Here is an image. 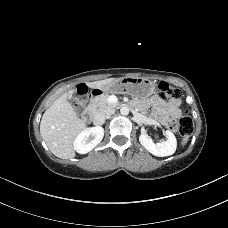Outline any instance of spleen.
<instances>
[{"label": "spleen", "instance_id": "1", "mask_svg": "<svg viewBox=\"0 0 228 228\" xmlns=\"http://www.w3.org/2000/svg\"><path fill=\"white\" fill-rule=\"evenodd\" d=\"M188 139H189V135L185 134L182 139V143H181L182 146H184L187 143Z\"/></svg>", "mask_w": 228, "mask_h": 228}]
</instances>
